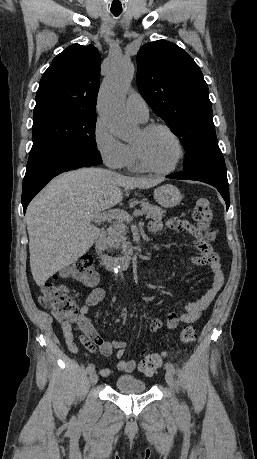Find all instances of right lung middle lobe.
<instances>
[{"label":"right lung middle lobe","instance_id":"dd1d6c3e","mask_svg":"<svg viewBox=\"0 0 257 459\" xmlns=\"http://www.w3.org/2000/svg\"><path fill=\"white\" fill-rule=\"evenodd\" d=\"M97 114L51 108L34 112L30 154L58 148L83 151L100 158L95 141Z\"/></svg>","mask_w":257,"mask_h":459}]
</instances>
